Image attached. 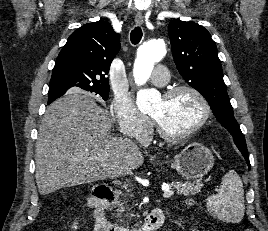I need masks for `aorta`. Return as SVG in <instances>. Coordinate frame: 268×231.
I'll use <instances>...</instances> for the list:
<instances>
[{"label":"aorta","mask_w":268,"mask_h":231,"mask_svg":"<svg viewBox=\"0 0 268 231\" xmlns=\"http://www.w3.org/2000/svg\"><path fill=\"white\" fill-rule=\"evenodd\" d=\"M165 54L166 46L163 40H151L139 47L133 68L134 80L137 85H143L148 81L154 64L161 61ZM158 98L159 93L155 89L140 90L137 93V107L140 111L149 110L151 102Z\"/></svg>","instance_id":"aorta-1"}]
</instances>
